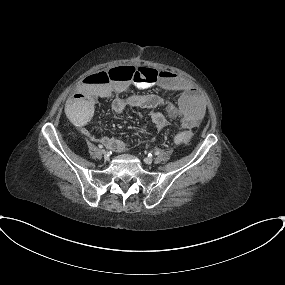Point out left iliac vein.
<instances>
[{"instance_id":"4c4485c4","label":"left iliac vein","mask_w":285,"mask_h":285,"mask_svg":"<svg viewBox=\"0 0 285 285\" xmlns=\"http://www.w3.org/2000/svg\"><path fill=\"white\" fill-rule=\"evenodd\" d=\"M144 162H145L146 164H152L153 160H152L150 157H146V158L144 159Z\"/></svg>"}]
</instances>
